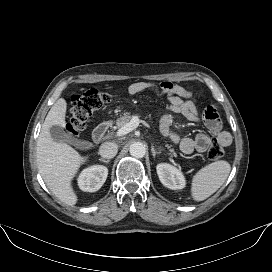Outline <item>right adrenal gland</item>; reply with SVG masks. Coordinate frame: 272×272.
<instances>
[{
	"label": "right adrenal gland",
	"instance_id": "2a0ac1e0",
	"mask_svg": "<svg viewBox=\"0 0 272 272\" xmlns=\"http://www.w3.org/2000/svg\"><path fill=\"white\" fill-rule=\"evenodd\" d=\"M99 161L104 162L106 164H108L110 162V160H108V159L106 160V159H103V158H100Z\"/></svg>",
	"mask_w": 272,
	"mask_h": 272
}]
</instances>
